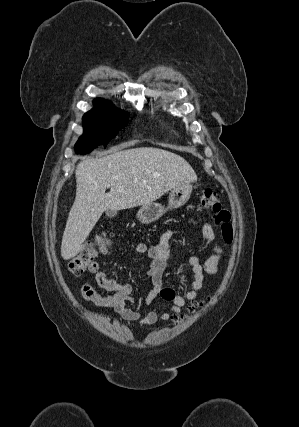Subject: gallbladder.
Returning <instances> with one entry per match:
<instances>
[{
  "label": "gallbladder",
  "mask_w": 299,
  "mask_h": 427,
  "mask_svg": "<svg viewBox=\"0 0 299 427\" xmlns=\"http://www.w3.org/2000/svg\"><path fill=\"white\" fill-rule=\"evenodd\" d=\"M105 213H106V217H108V218H113L114 216H116V214H117V212L116 211H113V210H110V209H107L106 211H105Z\"/></svg>",
  "instance_id": "1"
}]
</instances>
